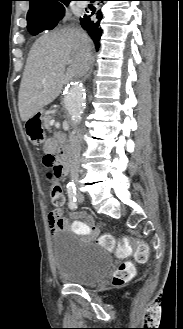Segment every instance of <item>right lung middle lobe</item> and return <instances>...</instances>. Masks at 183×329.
<instances>
[{"instance_id": "right-lung-middle-lobe-1", "label": "right lung middle lobe", "mask_w": 183, "mask_h": 329, "mask_svg": "<svg viewBox=\"0 0 183 329\" xmlns=\"http://www.w3.org/2000/svg\"><path fill=\"white\" fill-rule=\"evenodd\" d=\"M63 14H64V7H61L58 16L55 19L47 22L34 23L30 27H28V30L32 35H37L38 33L44 30H51L57 25L58 21L62 18Z\"/></svg>"}]
</instances>
